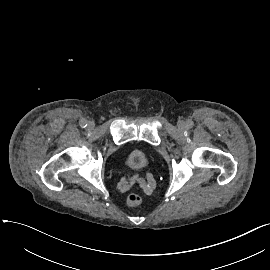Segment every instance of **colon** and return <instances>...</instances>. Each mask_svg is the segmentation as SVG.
<instances>
[{"instance_id":"colon-1","label":"colon","mask_w":270,"mask_h":270,"mask_svg":"<svg viewBox=\"0 0 270 270\" xmlns=\"http://www.w3.org/2000/svg\"><path fill=\"white\" fill-rule=\"evenodd\" d=\"M142 201H143V197L138 192H132L126 198V203L129 206H138L142 203Z\"/></svg>"}]
</instances>
